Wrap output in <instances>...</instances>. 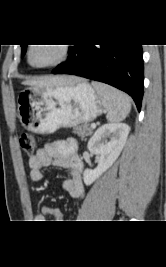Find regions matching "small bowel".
<instances>
[{"instance_id":"obj_1","label":"small bowel","mask_w":166,"mask_h":267,"mask_svg":"<svg viewBox=\"0 0 166 267\" xmlns=\"http://www.w3.org/2000/svg\"><path fill=\"white\" fill-rule=\"evenodd\" d=\"M49 166L66 169L69 172V178L63 183V188L71 198L82 199L84 197L82 183L84 166L75 140H53L40 148L29 159L30 179L33 182H40L44 176L43 169ZM48 218L61 220L62 214L58 208L45 205L36 216V220L44 222Z\"/></svg>"}]
</instances>
